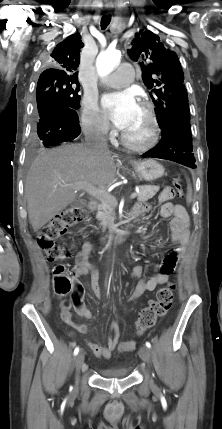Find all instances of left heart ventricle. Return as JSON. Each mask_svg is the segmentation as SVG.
<instances>
[{
    "label": "left heart ventricle",
    "mask_w": 222,
    "mask_h": 429,
    "mask_svg": "<svg viewBox=\"0 0 222 429\" xmlns=\"http://www.w3.org/2000/svg\"><path fill=\"white\" fill-rule=\"evenodd\" d=\"M149 122L145 110L138 105L136 114L130 125L124 130L134 141L141 142L147 138Z\"/></svg>",
    "instance_id": "1"
}]
</instances>
